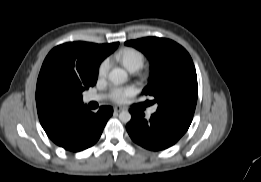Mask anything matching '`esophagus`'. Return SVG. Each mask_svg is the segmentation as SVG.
<instances>
[{"instance_id": "1", "label": "esophagus", "mask_w": 261, "mask_h": 182, "mask_svg": "<svg viewBox=\"0 0 261 182\" xmlns=\"http://www.w3.org/2000/svg\"><path fill=\"white\" fill-rule=\"evenodd\" d=\"M122 110H124V108L119 107V106H115V107H114V111H115V112H120V111H122Z\"/></svg>"}]
</instances>
